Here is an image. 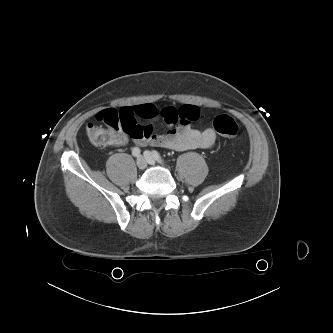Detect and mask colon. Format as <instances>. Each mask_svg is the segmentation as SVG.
Listing matches in <instances>:
<instances>
[{
  "instance_id": "5ec220e1",
  "label": "colon",
  "mask_w": 333,
  "mask_h": 333,
  "mask_svg": "<svg viewBox=\"0 0 333 333\" xmlns=\"http://www.w3.org/2000/svg\"><path fill=\"white\" fill-rule=\"evenodd\" d=\"M97 121L105 127L89 124L86 128L88 139L95 146L112 145L117 132L132 134L137 131L136 116L130 108L106 109L97 114ZM213 129L221 136L233 138L239 133L236 121L228 115H218L213 120Z\"/></svg>"
}]
</instances>
